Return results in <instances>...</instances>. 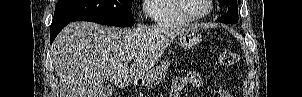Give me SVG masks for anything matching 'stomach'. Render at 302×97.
<instances>
[{
	"instance_id": "stomach-1",
	"label": "stomach",
	"mask_w": 302,
	"mask_h": 97,
	"mask_svg": "<svg viewBox=\"0 0 302 97\" xmlns=\"http://www.w3.org/2000/svg\"><path fill=\"white\" fill-rule=\"evenodd\" d=\"M202 40V34L197 28H188L178 34V42L183 48H191ZM170 61L165 59L159 65L151 68L145 75L136 79V84L152 88L157 86L165 77Z\"/></svg>"
}]
</instances>
